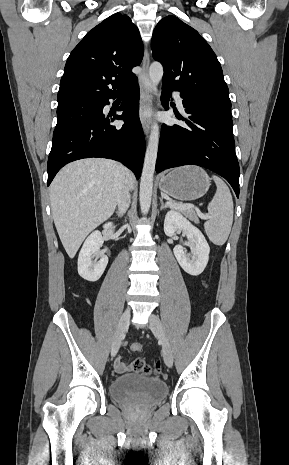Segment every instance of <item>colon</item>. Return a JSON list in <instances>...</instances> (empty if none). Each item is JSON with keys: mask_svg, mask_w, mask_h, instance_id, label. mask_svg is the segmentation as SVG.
Segmentation results:
<instances>
[{"mask_svg": "<svg viewBox=\"0 0 289 465\" xmlns=\"http://www.w3.org/2000/svg\"><path fill=\"white\" fill-rule=\"evenodd\" d=\"M142 349V345L139 343H134L131 345V350L134 352H139ZM160 369V363L157 362L154 366L146 363L143 359L138 358L135 361V370L144 375L158 374Z\"/></svg>", "mask_w": 289, "mask_h": 465, "instance_id": "5ec220e1", "label": "colon"}]
</instances>
